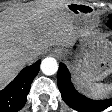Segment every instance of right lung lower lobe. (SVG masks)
I'll return each mask as SVG.
<instances>
[{"instance_id": "1", "label": "right lung lower lobe", "mask_w": 112, "mask_h": 112, "mask_svg": "<svg viewBox=\"0 0 112 112\" xmlns=\"http://www.w3.org/2000/svg\"><path fill=\"white\" fill-rule=\"evenodd\" d=\"M41 61L24 68L5 89L0 91V112H17L27 100L33 79L39 72Z\"/></svg>"}]
</instances>
